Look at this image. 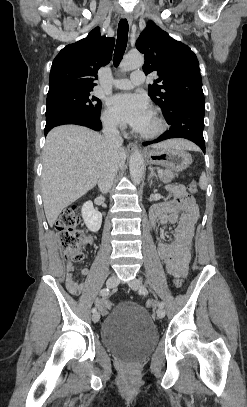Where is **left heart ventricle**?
<instances>
[{
    "instance_id": "obj_1",
    "label": "left heart ventricle",
    "mask_w": 247,
    "mask_h": 407,
    "mask_svg": "<svg viewBox=\"0 0 247 407\" xmlns=\"http://www.w3.org/2000/svg\"><path fill=\"white\" fill-rule=\"evenodd\" d=\"M156 126L155 119L151 114H149L143 125L138 130L142 132H151L156 129Z\"/></svg>"
}]
</instances>
